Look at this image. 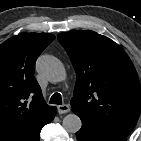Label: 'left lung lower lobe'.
Masks as SVG:
<instances>
[{
	"mask_svg": "<svg viewBox=\"0 0 141 141\" xmlns=\"http://www.w3.org/2000/svg\"><path fill=\"white\" fill-rule=\"evenodd\" d=\"M78 141H126L127 137L110 134L82 121V128L76 133Z\"/></svg>",
	"mask_w": 141,
	"mask_h": 141,
	"instance_id": "obj_1",
	"label": "left lung lower lobe"
}]
</instances>
